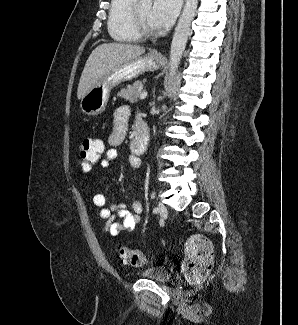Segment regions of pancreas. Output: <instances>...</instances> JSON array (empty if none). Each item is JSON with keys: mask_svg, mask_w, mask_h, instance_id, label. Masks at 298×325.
<instances>
[{"mask_svg": "<svg viewBox=\"0 0 298 325\" xmlns=\"http://www.w3.org/2000/svg\"><path fill=\"white\" fill-rule=\"evenodd\" d=\"M146 80L147 78H142V80H135L132 84H127L125 88H121V90L117 92V96H121V98L128 100V102H137L140 94L139 86H143Z\"/></svg>", "mask_w": 298, "mask_h": 325, "instance_id": "obj_1", "label": "pancreas"}]
</instances>
